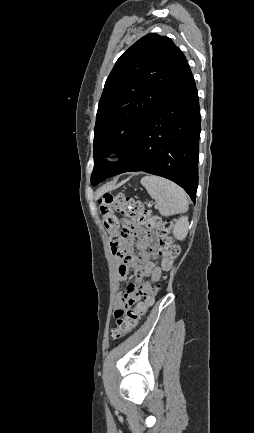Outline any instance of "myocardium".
Masks as SVG:
<instances>
[{"mask_svg": "<svg viewBox=\"0 0 254 433\" xmlns=\"http://www.w3.org/2000/svg\"><path fill=\"white\" fill-rule=\"evenodd\" d=\"M120 151H121L120 147H116V148H114V149H111V150L106 154L105 161H106V162H109V163L114 162V161L117 159V157H118Z\"/></svg>", "mask_w": 254, "mask_h": 433, "instance_id": "1", "label": "myocardium"}]
</instances>
